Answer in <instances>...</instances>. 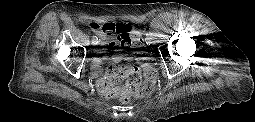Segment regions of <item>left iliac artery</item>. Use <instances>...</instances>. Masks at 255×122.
<instances>
[{"instance_id":"44dca946","label":"left iliac artery","mask_w":255,"mask_h":122,"mask_svg":"<svg viewBox=\"0 0 255 122\" xmlns=\"http://www.w3.org/2000/svg\"><path fill=\"white\" fill-rule=\"evenodd\" d=\"M146 43H147L148 45H150V44L152 43V40H151L150 38H147V39H146Z\"/></svg>"}]
</instances>
